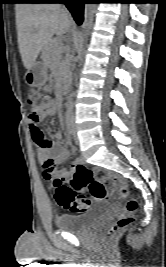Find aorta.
<instances>
[{"label": "aorta", "mask_w": 166, "mask_h": 267, "mask_svg": "<svg viewBox=\"0 0 166 267\" xmlns=\"http://www.w3.org/2000/svg\"><path fill=\"white\" fill-rule=\"evenodd\" d=\"M96 11L95 3H86L84 7V21L82 24L83 37L87 38L89 31L93 25L94 14Z\"/></svg>", "instance_id": "aorta-1"}]
</instances>
